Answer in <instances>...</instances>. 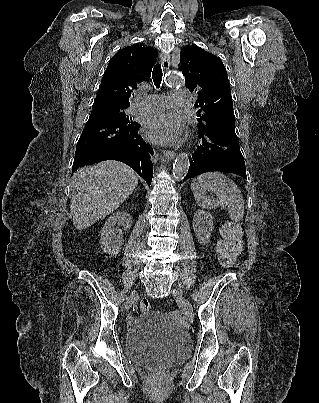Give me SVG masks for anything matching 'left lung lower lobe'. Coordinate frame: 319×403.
Here are the masks:
<instances>
[{
  "label": "left lung lower lobe",
  "mask_w": 319,
  "mask_h": 403,
  "mask_svg": "<svg viewBox=\"0 0 319 403\" xmlns=\"http://www.w3.org/2000/svg\"><path fill=\"white\" fill-rule=\"evenodd\" d=\"M200 145L193 153L184 180L208 171L235 173L246 178V168L235 134V121L216 123L199 131Z\"/></svg>",
  "instance_id": "0a47b994"
}]
</instances>
